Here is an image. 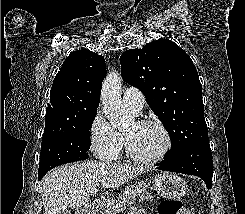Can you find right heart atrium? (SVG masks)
Returning a JSON list of instances; mask_svg holds the SVG:
<instances>
[{
	"instance_id": "d8ad5b80",
	"label": "right heart atrium",
	"mask_w": 245,
	"mask_h": 214,
	"mask_svg": "<svg viewBox=\"0 0 245 214\" xmlns=\"http://www.w3.org/2000/svg\"><path fill=\"white\" fill-rule=\"evenodd\" d=\"M90 144L95 155L102 161L118 157L123 139L101 111L95 113L89 128Z\"/></svg>"
}]
</instances>
